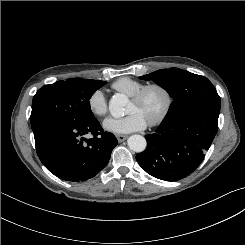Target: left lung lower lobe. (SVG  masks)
Listing matches in <instances>:
<instances>
[{
  "mask_svg": "<svg viewBox=\"0 0 245 245\" xmlns=\"http://www.w3.org/2000/svg\"><path fill=\"white\" fill-rule=\"evenodd\" d=\"M219 111L203 108L160 124L146 135L147 148L136 155L151 176L165 181L180 180L197 169L218 130Z\"/></svg>",
  "mask_w": 245,
  "mask_h": 245,
  "instance_id": "0a47b994",
  "label": "left lung lower lobe"
}]
</instances>
